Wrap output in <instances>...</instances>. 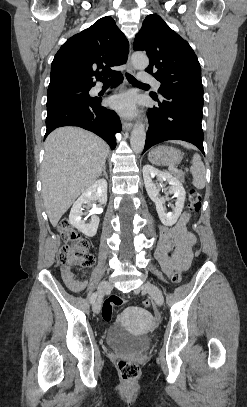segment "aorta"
Segmentation results:
<instances>
[{
    "label": "aorta",
    "mask_w": 247,
    "mask_h": 407,
    "mask_svg": "<svg viewBox=\"0 0 247 407\" xmlns=\"http://www.w3.org/2000/svg\"><path fill=\"white\" fill-rule=\"evenodd\" d=\"M131 62L134 68L143 70L149 65V59L145 53L135 52L131 56ZM146 132L142 123L137 122L130 137V144L134 152L140 153L145 145Z\"/></svg>",
    "instance_id": "762f6f07"
}]
</instances>
